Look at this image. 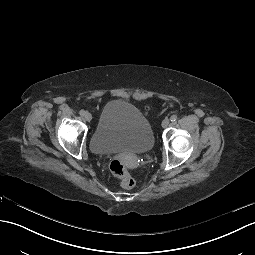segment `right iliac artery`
<instances>
[{"mask_svg":"<svg viewBox=\"0 0 255 255\" xmlns=\"http://www.w3.org/2000/svg\"><path fill=\"white\" fill-rule=\"evenodd\" d=\"M85 113H86V112H85L83 109H82V110H80V112H79V114H80V115H82V116H84V115H85Z\"/></svg>","mask_w":255,"mask_h":255,"instance_id":"82829eb1","label":"right iliac artery"}]
</instances>
